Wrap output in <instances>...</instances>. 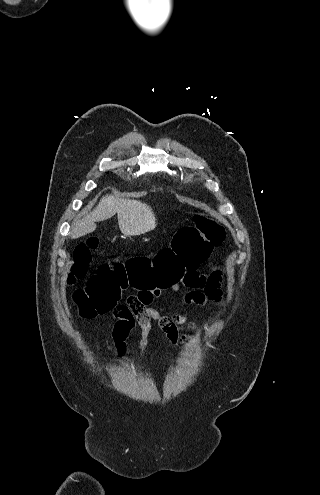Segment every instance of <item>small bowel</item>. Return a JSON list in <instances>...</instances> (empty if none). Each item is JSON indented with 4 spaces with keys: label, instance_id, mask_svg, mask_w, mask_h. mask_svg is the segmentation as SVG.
Here are the masks:
<instances>
[{
    "label": "small bowel",
    "instance_id": "obj_1",
    "mask_svg": "<svg viewBox=\"0 0 320 495\" xmlns=\"http://www.w3.org/2000/svg\"><path fill=\"white\" fill-rule=\"evenodd\" d=\"M221 279L220 271H215L209 276L196 271L186 272L180 281L173 283L169 287L174 293L179 291L180 286L190 289L183 297L185 310L182 312L163 314L152 307L154 299L159 296L160 292L145 291L143 294L148 297L147 302L139 301L137 295L128 297L127 303L122 309L113 311L116 323L113 327L112 336L118 348L122 350L126 337L135 327H139L141 330L139 351L143 355L148 345V335L153 320L157 321L172 345L188 341L189 335L183 332L197 331L196 324L188 319V308L195 305L206 307L209 301L219 299L221 297L219 290Z\"/></svg>",
    "mask_w": 320,
    "mask_h": 495
}]
</instances>
